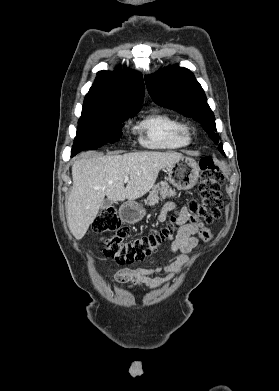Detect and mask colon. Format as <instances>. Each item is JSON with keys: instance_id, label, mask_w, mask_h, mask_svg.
I'll list each match as a JSON object with an SVG mask.
<instances>
[{"instance_id": "5ec220e1", "label": "colon", "mask_w": 279, "mask_h": 391, "mask_svg": "<svg viewBox=\"0 0 279 391\" xmlns=\"http://www.w3.org/2000/svg\"><path fill=\"white\" fill-rule=\"evenodd\" d=\"M200 166L199 199L192 200L188 204V210L193 220L212 223L221 215V186L224 177L212 158H203ZM176 221L177 218L173 216L159 231L131 238L129 228L122 224L115 208L109 207L95 219L93 228L98 233H112L103 242L105 256L118 264H129L156 253L172 237ZM201 237L203 240H210L212 234L210 230L203 229Z\"/></svg>"}]
</instances>
